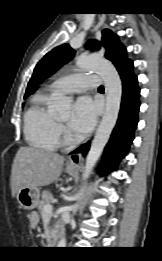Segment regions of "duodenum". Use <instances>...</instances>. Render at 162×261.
I'll return each mask as SVG.
<instances>
[{
  "instance_id": "1",
  "label": "duodenum",
  "mask_w": 162,
  "mask_h": 261,
  "mask_svg": "<svg viewBox=\"0 0 162 261\" xmlns=\"http://www.w3.org/2000/svg\"><path fill=\"white\" fill-rule=\"evenodd\" d=\"M61 234H62V229L58 228L54 233L51 234V236H50V243L52 245H57L58 240H59Z\"/></svg>"
}]
</instances>
